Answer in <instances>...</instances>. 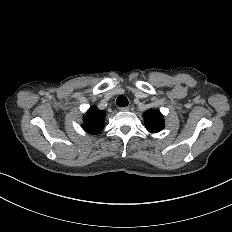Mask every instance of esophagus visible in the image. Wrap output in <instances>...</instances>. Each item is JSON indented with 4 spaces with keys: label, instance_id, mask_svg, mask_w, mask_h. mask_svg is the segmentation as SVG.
Returning a JSON list of instances; mask_svg holds the SVG:
<instances>
[{
    "label": "esophagus",
    "instance_id": "34e87169",
    "mask_svg": "<svg viewBox=\"0 0 232 232\" xmlns=\"http://www.w3.org/2000/svg\"><path fill=\"white\" fill-rule=\"evenodd\" d=\"M130 109V107L129 106H122V107H119V110H121V111H128Z\"/></svg>",
    "mask_w": 232,
    "mask_h": 232
}]
</instances>
